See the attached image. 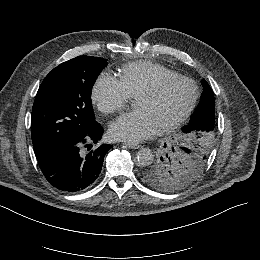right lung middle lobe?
<instances>
[{"label": "right lung middle lobe", "instance_id": "right-lung-middle-lobe-1", "mask_svg": "<svg viewBox=\"0 0 260 260\" xmlns=\"http://www.w3.org/2000/svg\"><path fill=\"white\" fill-rule=\"evenodd\" d=\"M107 64L100 57L78 56L45 77L31 114L36 157L83 140L95 127L91 91L97 75Z\"/></svg>", "mask_w": 260, "mask_h": 260}]
</instances>
